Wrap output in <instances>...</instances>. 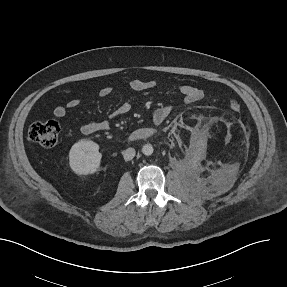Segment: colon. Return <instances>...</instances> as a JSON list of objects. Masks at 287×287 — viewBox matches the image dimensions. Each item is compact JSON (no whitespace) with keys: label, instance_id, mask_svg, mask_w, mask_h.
<instances>
[{"label":"colon","instance_id":"colon-1","mask_svg":"<svg viewBox=\"0 0 287 287\" xmlns=\"http://www.w3.org/2000/svg\"><path fill=\"white\" fill-rule=\"evenodd\" d=\"M228 107L234 113L242 110V105L237 99H230ZM59 131V125L55 121L34 122L29 127L28 137L41 147L51 148L57 143Z\"/></svg>","mask_w":287,"mask_h":287}]
</instances>
